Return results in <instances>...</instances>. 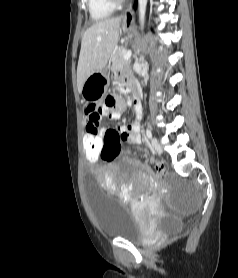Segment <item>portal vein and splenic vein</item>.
Wrapping results in <instances>:
<instances>
[{
  "instance_id": "1",
  "label": "portal vein and splenic vein",
  "mask_w": 238,
  "mask_h": 278,
  "mask_svg": "<svg viewBox=\"0 0 238 278\" xmlns=\"http://www.w3.org/2000/svg\"><path fill=\"white\" fill-rule=\"evenodd\" d=\"M131 55H132L131 50L127 51V52L125 53V55H124V59H125V60H129L130 57H131Z\"/></svg>"
}]
</instances>
